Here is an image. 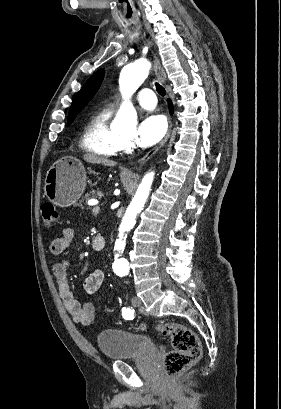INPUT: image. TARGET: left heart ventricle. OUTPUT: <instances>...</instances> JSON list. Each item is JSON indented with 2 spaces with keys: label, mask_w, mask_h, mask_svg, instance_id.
I'll list each match as a JSON object with an SVG mask.
<instances>
[{
  "label": "left heart ventricle",
  "mask_w": 281,
  "mask_h": 409,
  "mask_svg": "<svg viewBox=\"0 0 281 409\" xmlns=\"http://www.w3.org/2000/svg\"><path fill=\"white\" fill-rule=\"evenodd\" d=\"M123 138L131 141L135 138L136 133L118 132Z\"/></svg>",
  "instance_id": "b2bd125f"
}]
</instances>
